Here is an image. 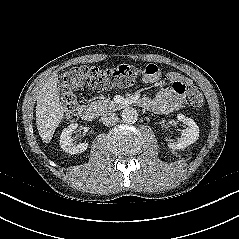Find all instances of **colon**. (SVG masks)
Wrapping results in <instances>:
<instances>
[{
	"label": "colon",
	"instance_id": "5ec220e1",
	"mask_svg": "<svg viewBox=\"0 0 239 239\" xmlns=\"http://www.w3.org/2000/svg\"><path fill=\"white\" fill-rule=\"evenodd\" d=\"M141 70L133 65H119L102 69L93 66H78L63 73L59 78V93L69 119L76 118L78 100L76 92L84 87L102 91L112 88L132 86L140 77ZM188 102L194 109H200L204 103L201 90L197 87L187 89Z\"/></svg>",
	"mask_w": 239,
	"mask_h": 239
}]
</instances>
